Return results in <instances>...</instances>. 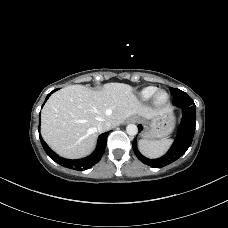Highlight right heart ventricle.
<instances>
[{
  "instance_id": "right-heart-ventricle-1",
  "label": "right heart ventricle",
  "mask_w": 228,
  "mask_h": 228,
  "mask_svg": "<svg viewBox=\"0 0 228 228\" xmlns=\"http://www.w3.org/2000/svg\"><path fill=\"white\" fill-rule=\"evenodd\" d=\"M157 90L158 89L155 86H148V87L141 89L140 92L138 93V96L141 100L147 101L154 95V93Z\"/></svg>"
}]
</instances>
